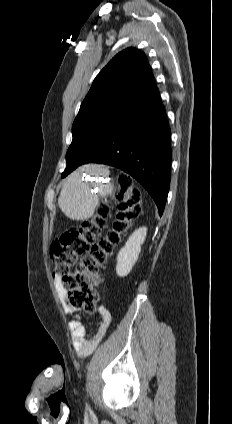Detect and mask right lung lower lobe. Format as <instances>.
<instances>
[{
	"label": "right lung lower lobe",
	"instance_id": "1",
	"mask_svg": "<svg viewBox=\"0 0 232 424\" xmlns=\"http://www.w3.org/2000/svg\"><path fill=\"white\" fill-rule=\"evenodd\" d=\"M122 169L154 199L161 216L170 185L171 136L160 94L132 106L129 120L84 160Z\"/></svg>",
	"mask_w": 232,
	"mask_h": 424
}]
</instances>
